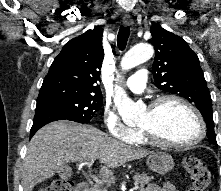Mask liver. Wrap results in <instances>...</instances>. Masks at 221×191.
Segmentation results:
<instances>
[{"instance_id": "6515ba94", "label": "liver", "mask_w": 221, "mask_h": 191, "mask_svg": "<svg viewBox=\"0 0 221 191\" xmlns=\"http://www.w3.org/2000/svg\"><path fill=\"white\" fill-rule=\"evenodd\" d=\"M152 152L126 145L92 126L69 121H56L41 128L31 139L22 170L24 191L54 176L55 171L69 162L99 159L102 181H115L111 169L143 158Z\"/></svg>"}]
</instances>
